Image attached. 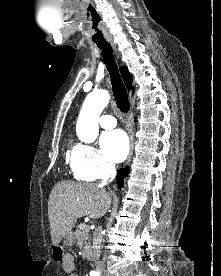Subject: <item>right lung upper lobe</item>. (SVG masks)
Segmentation results:
<instances>
[{"label":"right lung upper lobe","instance_id":"1","mask_svg":"<svg viewBox=\"0 0 221 276\" xmlns=\"http://www.w3.org/2000/svg\"><path fill=\"white\" fill-rule=\"evenodd\" d=\"M120 72H121L122 78L125 82V85H126L127 89L130 90L131 85H132V76H131V74L129 73V71L126 67H121Z\"/></svg>","mask_w":221,"mask_h":276}]
</instances>
